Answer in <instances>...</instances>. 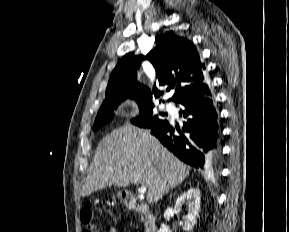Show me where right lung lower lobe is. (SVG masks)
Instances as JSON below:
<instances>
[{"label":"right lung lower lobe","mask_w":289,"mask_h":232,"mask_svg":"<svg viewBox=\"0 0 289 232\" xmlns=\"http://www.w3.org/2000/svg\"><path fill=\"white\" fill-rule=\"evenodd\" d=\"M180 104V114L186 118L182 132L164 121L151 128V134L190 166H217L221 157V130L212 95Z\"/></svg>","instance_id":"obj_1"}]
</instances>
